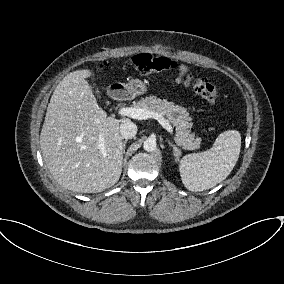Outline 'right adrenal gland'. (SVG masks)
<instances>
[{"label":"right adrenal gland","instance_id":"2a0ac1e0","mask_svg":"<svg viewBox=\"0 0 284 284\" xmlns=\"http://www.w3.org/2000/svg\"><path fill=\"white\" fill-rule=\"evenodd\" d=\"M126 143H127V139L123 141V153H125Z\"/></svg>","mask_w":284,"mask_h":284}]
</instances>
